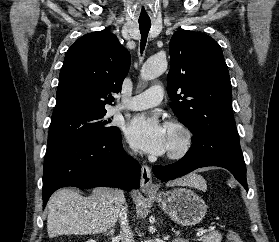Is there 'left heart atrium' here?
Listing matches in <instances>:
<instances>
[{"label":"left heart atrium","instance_id":"1","mask_svg":"<svg viewBox=\"0 0 279 242\" xmlns=\"http://www.w3.org/2000/svg\"><path fill=\"white\" fill-rule=\"evenodd\" d=\"M127 138L135 147L153 154L168 151V127L156 115H138L127 127Z\"/></svg>","mask_w":279,"mask_h":242}]
</instances>
